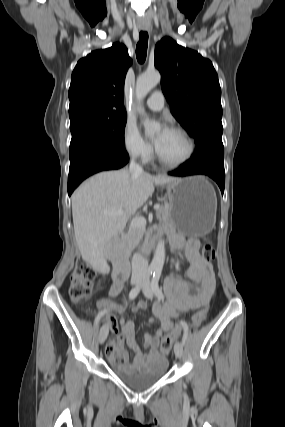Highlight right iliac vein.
<instances>
[{
	"mask_svg": "<svg viewBox=\"0 0 285 427\" xmlns=\"http://www.w3.org/2000/svg\"><path fill=\"white\" fill-rule=\"evenodd\" d=\"M140 281H141V278L137 277V278L132 279L131 283L133 285H137L140 283ZM108 333H109V326L105 324L101 327L100 332H99V342L101 344L105 342V340L108 336Z\"/></svg>",
	"mask_w": 285,
	"mask_h": 427,
	"instance_id": "obj_1",
	"label": "right iliac vein"
}]
</instances>
